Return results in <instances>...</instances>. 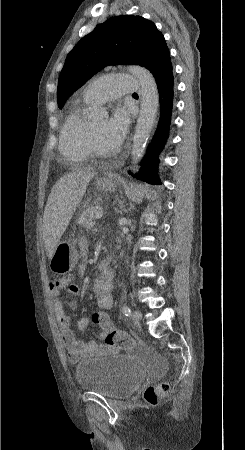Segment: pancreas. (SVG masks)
Here are the masks:
<instances>
[{"instance_id": "obj_1", "label": "pancreas", "mask_w": 245, "mask_h": 450, "mask_svg": "<svg viewBox=\"0 0 245 450\" xmlns=\"http://www.w3.org/2000/svg\"><path fill=\"white\" fill-rule=\"evenodd\" d=\"M99 212L97 206H88L78 218V224L86 229H91L95 225L96 214Z\"/></svg>"}]
</instances>
